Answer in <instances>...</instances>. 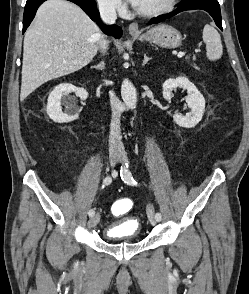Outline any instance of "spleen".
Returning a JSON list of instances; mask_svg holds the SVG:
<instances>
[{
  "label": "spleen",
  "mask_w": 249,
  "mask_h": 294,
  "mask_svg": "<svg viewBox=\"0 0 249 294\" xmlns=\"http://www.w3.org/2000/svg\"><path fill=\"white\" fill-rule=\"evenodd\" d=\"M203 41L206 44V55L210 61L221 58L223 54V46L218 31L210 26L205 25L203 29Z\"/></svg>",
  "instance_id": "obj_1"
}]
</instances>
